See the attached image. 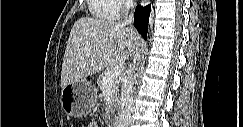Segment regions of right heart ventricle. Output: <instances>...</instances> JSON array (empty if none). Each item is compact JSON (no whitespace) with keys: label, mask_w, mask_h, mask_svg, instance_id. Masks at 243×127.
Listing matches in <instances>:
<instances>
[{"label":"right heart ventricle","mask_w":243,"mask_h":127,"mask_svg":"<svg viewBox=\"0 0 243 127\" xmlns=\"http://www.w3.org/2000/svg\"><path fill=\"white\" fill-rule=\"evenodd\" d=\"M117 3L115 0H90L89 11L91 15L100 21H112L116 17L115 9Z\"/></svg>","instance_id":"obj_1"}]
</instances>
